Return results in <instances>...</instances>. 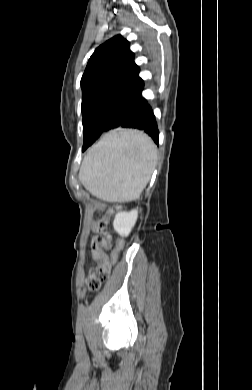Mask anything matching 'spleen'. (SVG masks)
<instances>
[{
	"mask_svg": "<svg viewBox=\"0 0 252 390\" xmlns=\"http://www.w3.org/2000/svg\"><path fill=\"white\" fill-rule=\"evenodd\" d=\"M156 159V146L147 135L136 130L114 131L89 150L79 180L101 200L133 201L146 187Z\"/></svg>",
	"mask_w": 252,
	"mask_h": 390,
	"instance_id": "spleen-1",
	"label": "spleen"
}]
</instances>
